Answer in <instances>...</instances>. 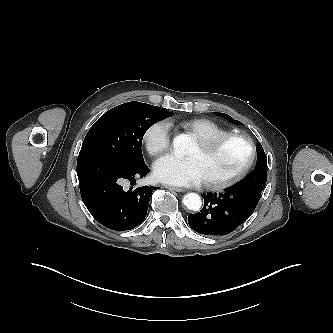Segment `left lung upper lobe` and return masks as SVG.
Segmentation results:
<instances>
[{"label": "left lung upper lobe", "instance_id": "5c2ea615", "mask_svg": "<svg viewBox=\"0 0 333 333\" xmlns=\"http://www.w3.org/2000/svg\"><path fill=\"white\" fill-rule=\"evenodd\" d=\"M229 122L239 124L240 122L234 120L231 116L224 113H217ZM257 163L253 172H251L246 179L232 186L234 189L255 192L261 195L266 185L267 180V158L261 144H257Z\"/></svg>", "mask_w": 333, "mask_h": 333}]
</instances>
